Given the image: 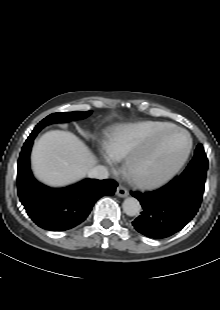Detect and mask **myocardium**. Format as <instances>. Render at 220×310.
Wrapping results in <instances>:
<instances>
[{
    "label": "myocardium",
    "mask_w": 220,
    "mask_h": 310,
    "mask_svg": "<svg viewBox=\"0 0 220 310\" xmlns=\"http://www.w3.org/2000/svg\"><path fill=\"white\" fill-rule=\"evenodd\" d=\"M170 131H177L183 133L188 140L187 147L182 155V157L179 159V161L165 174L159 176V177H147L144 174H142L138 167V160L140 159L141 153L143 150H145L147 147L150 146L148 149L147 154H150L156 147L158 140L165 135L166 133ZM192 150V138L190 134L183 128L170 125L157 133L153 135V137L150 139L149 143L144 148H138L134 150L132 153H130L124 163V171L127 173L131 181L136 184L139 187L144 188H156L159 186H162L169 182L173 177H175L179 171L183 168L185 165L190 153Z\"/></svg>",
    "instance_id": "obj_1"
}]
</instances>
